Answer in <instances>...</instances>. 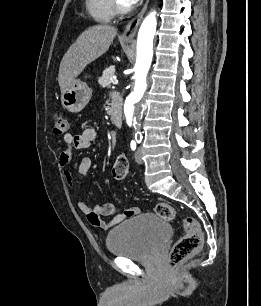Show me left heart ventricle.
I'll return each instance as SVG.
<instances>
[{
    "label": "left heart ventricle",
    "mask_w": 261,
    "mask_h": 306,
    "mask_svg": "<svg viewBox=\"0 0 261 306\" xmlns=\"http://www.w3.org/2000/svg\"><path fill=\"white\" fill-rule=\"evenodd\" d=\"M122 5H126L123 0H118Z\"/></svg>",
    "instance_id": "1"
}]
</instances>
